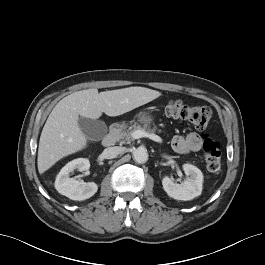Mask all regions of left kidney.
I'll use <instances>...</instances> for the list:
<instances>
[{
	"instance_id": "5707ae66",
	"label": "left kidney",
	"mask_w": 265,
	"mask_h": 265,
	"mask_svg": "<svg viewBox=\"0 0 265 265\" xmlns=\"http://www.w3.org/2000/svg\"><path fill=\"white\" fill-rule=\"evenodd\" d=\"M187 179L181 183H174L168 176L162 179L164 191L176 200L188 201L201 195L203 174L200 169L191 164L182 166Z\"/></svg>"
}]
</instances>
